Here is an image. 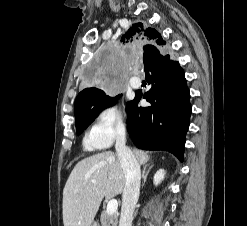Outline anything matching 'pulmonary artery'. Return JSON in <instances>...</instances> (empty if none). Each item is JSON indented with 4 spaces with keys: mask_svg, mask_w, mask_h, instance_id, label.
<instances>
[{
    "mask_svg": "<svg viewBox=\"0 0 247 226\" xmlns=\"http://www.w3.org/2000/svg\"><path fill=\"white\" fill-rule=\"evenodd\" d=\"M131 86H132L133 88H138V87H139V82H137V81H135V80H132V81H131Z\"/></svg>",
    "mask_w": 247,
    "mask_h": 226,
    "instance_id": "1",
    "label": "pulmonary artery"
}]
</instances>
